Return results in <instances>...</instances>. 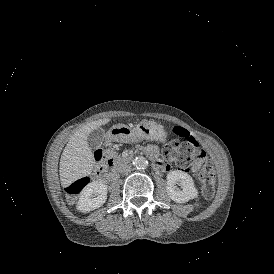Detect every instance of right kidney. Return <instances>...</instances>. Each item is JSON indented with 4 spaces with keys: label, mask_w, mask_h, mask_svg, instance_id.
I'll list each match as a JSON object with an SVG mask.
<instances>
[{
    "label": "right kidney",
    "mask_w": 274,
    "mask_h": 274,
    "mask_svg": "<svg viewBox=\"0 0 274 274\" xmlns=\"http://www.w3.org/2000/svg\"><path fill=\"white\" fill-rule=\"evenodd\" d=\"M107 199V186L100 181L87 184L80 192L77 210L87 213L101 207Z\"/></svg>",
    "instance_id": "obj_1"
}]
</instances>
